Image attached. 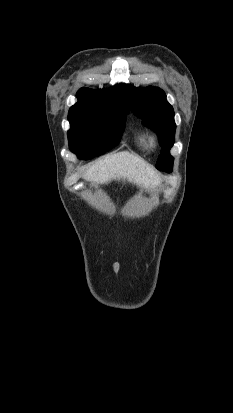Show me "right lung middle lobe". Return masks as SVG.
I'll return each instance as SVG.
<instances>
[{
	"label": "right lung middle lobe",
	"instance_id": "1",
	"mask_svg": "<svg viewBox=\"0 0 233 413\" xmlns=\"http://www.w3.org/2000/svg\"><path fill=\"white\" fill-rule=\"evenodd\" d=\"M128 113L120 103L78 100L68 114L71 151L88 160L111 150L120 142Z\"/></svg>",
	"mask_w": 233,
	"mask_h": 413
}]
</instances>
